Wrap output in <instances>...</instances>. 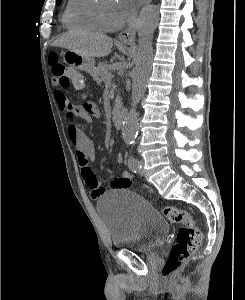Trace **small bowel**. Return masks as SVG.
Returning a JSON list of instances; mask_svg holds the SVG:
<instances>
[{
  "label": "small bowel",
  "instance_id": "obj_1",
  "mask_svg": "<svg viewBox=\"0 0 245 300\" xmlns=\"http://www.w3.org/2000/svg\"><path fill=\"white\" fill-rule=\"evenodd\" d=\"M54 98L58 108L66 112L67 118L76 115L86 124H91L94 118L100 116L98 107L93 102H85L80 106L72 105L64 94L61 85L57 78H53ZM67 133L70 142L76 149V158L81 168L82 177L90 190L92 198L97 199L102 196L107 188L103 187L97 179L91 164L95 161V147L93 141L82 131V129L75 125L69 124ZM123 156L116 155V162L121 163ZM132 185L131 174L127 171L121 173L120 176L112 179L109 183V189H128Z\"/></svg>",
  "mask_w": 245,
  "mask_h": 300
}]
</instances>
